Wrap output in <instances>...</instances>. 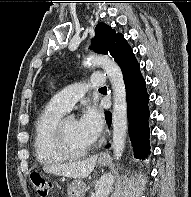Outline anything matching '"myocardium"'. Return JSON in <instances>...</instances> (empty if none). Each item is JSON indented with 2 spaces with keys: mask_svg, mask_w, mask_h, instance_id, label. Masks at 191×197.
Masks as SVG:
<instances>
[{
  "mask_svg": "<svg viewBox=\"0 0 191 197\" xmlns=\"http://www.w3.org/2000/svg\"><path fill=\"white\" fill-rule=\"evenodd\" d=\"M68 118H62L54 131V142L58 149V151L67 159H79L84 157L89 150L91 149V146H87L86 148L80 150V151H73L70 149V147L67 144L66 139V131H65V123Z\"/></svg>",
  "mask_w": 191,
  "mask_h": 197,
  "instance_id": "f54148a6",
  "label": "myocardium"
}]
</instances>
